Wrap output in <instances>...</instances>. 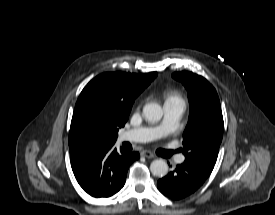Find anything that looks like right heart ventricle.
Segmentation results:
<instances>
[{
    "label": "right heart ventricle",
    "mask_w": 275,
    "mask_h": 215,
    "mask_svg": "<svg viewBox=\"0 0 275 215\" xmlns=\"http://www.w3.org/2000/svg\"><path fill=\"white\" fill-rule=\"evenodd\" d=\"M173 101H182L180 95L176 92H168L165 94V103Z\"/></svg>",
    "instance_id": "right-heart-ventricle-1"
}]
</instances>
